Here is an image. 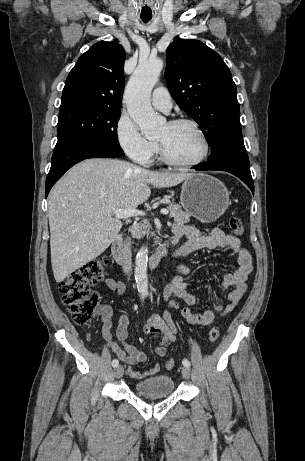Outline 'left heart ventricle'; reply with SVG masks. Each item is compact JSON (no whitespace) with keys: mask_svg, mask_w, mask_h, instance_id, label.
<instances>
[{"mask_svg":"<svg viewBox=\"0 0 305 461\" xmlns=\"http://www.w3.org/2000/svg\"><path fill=\"white\" fill-rule=\"evenodd\" d=\"M157 141L165 146L172 158L182 162L197 159L203 150L199 135L189 125L171 126L167 123Z\"/></svg>","mask_w":305,"mask_h":461,"instance_id":"b2bd125f","label":"left heart ventricle"}]
</instances>
